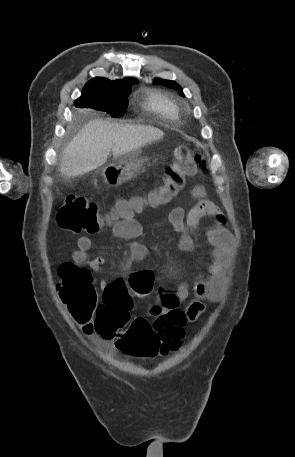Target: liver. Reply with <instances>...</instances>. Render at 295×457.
Returning a JSON list of instances; mask_svg holds the SVG:
<instances>
[{
  "label": "liver",
  "mask_w": 295,
  "mask_h": 457,
  "mask_svg": "<svg viewBox=\"0 0 295 457\" xmlns=\"http://www.w3.org/2000/svg\"><path fill=\"white\" fill-rule=\"evenodd\" d=\"M163 136V131L152 126L91 120L64 149L59 171L66 177L83 175L102 166L111 151L117 159Z\"/></svg>",
  "instance_id": "6515ba94"
}]
</instances>
